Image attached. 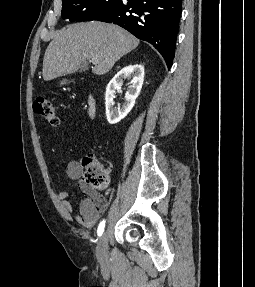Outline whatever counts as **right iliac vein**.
Returning <instances> with one entry per match:
<instances>
[{
    "instance_id": "obj_1",
    "label": "right iliac vein",
    "mask_w": 255,
    "mask_h": 287,
    "mask_svg": "<svg viewBox=\"0 0 255 287\" xmlns=\"http://www.w3.org/2000/svg\"><path fill=\"white\" fill-rule=\"evenodd\" d=\"M107 247H108V235L107 232L105 231L101 236L97 246V257L101 262L107 260L108 256Z\"/></svg>"
}]
</instances>
